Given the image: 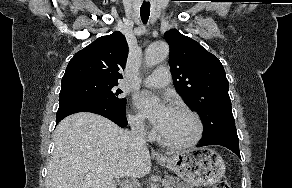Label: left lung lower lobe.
I'll list each match as a JSON object with an SVG mask.
<instances>
[{"mask_svg":"<svg viewBox=\"0 0 292 188\" xmlns=\"http://www.w3.org/2000/svg\"><path fill=\"white\" fill-rule=\"evenodd\" d=\"M207 145H220L226 147L240 157L239 139L235 127L224 128L207 137H203L197 147Z\"/></svg>","mask_w":292,"mask_h":188,"instance_id":"left-lung-lower-lobe-1","label":"left lung lower lobe"}]
</instances>
